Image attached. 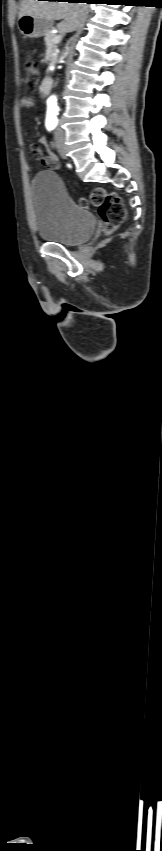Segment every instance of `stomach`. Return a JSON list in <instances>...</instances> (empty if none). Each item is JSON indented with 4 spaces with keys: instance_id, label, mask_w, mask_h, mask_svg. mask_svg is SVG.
<instances>
[{
    "instance_id": "obj_1",
    "label": "stomach",
    "mask_w": 162,
    "mask_h": 851,
    "mask_svg": "<svg viewBox=\"0 0 162 851\" xmlns=\"http://www.w3.org/2000/svg\"><path fill=\"white\" fill-rule=\"evenodd\" d=\"M18 29L26 38H39L46 35L52 28L53 22L47 19L23 15L18 18Z\"/></svg>"
}]
</instances>
